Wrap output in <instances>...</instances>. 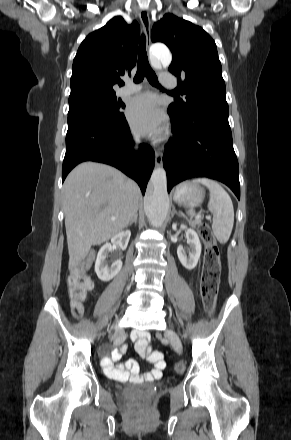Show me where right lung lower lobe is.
Here are the masks:
<instances>
[{"label": "right lung lower lobe", "mask_w": 291, "mask_h": 440, "mask_svg": "<svg viewBox=\"0 0 291 440\" xmlns=\"http://www.w3.org/2000/svg\"><path fill=\"white\" fill-rule=\"evenodd\" d=\"M154 160L155 154L146 144H142L139 154H135L124 114L115 120L87 114L68 117L62 182L77 164L95 161L112 165L124 172L139 184L144 195Z\"/></svg>", "instance_id": "right-lung-lower-lobe-1"}]
</instances>
